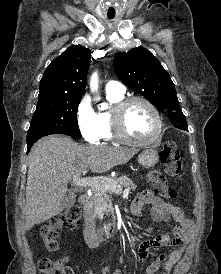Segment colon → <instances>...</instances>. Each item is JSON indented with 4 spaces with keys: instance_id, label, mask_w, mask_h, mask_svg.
Returning a JSON list of instances; mask_svg holds the SVG:
<instances>
[{
    "instance_id": "colon-1",
    "label": "colon",
    "mask_w": 221,
    "mask_h": 274,
    "mask_svg": "<svg viewBox=\"0 0 221 274\" xmlns=\"http://www.w3.org/2000/svg\"><path fill=\"white\" fill-rule=\"evenodd\" d=\"M163 169L167 176L180 178L182 176L181 153L178 146L173 141L165 143L161 152ZM150 185L153 190L168 199L176 197V191L168 186L166 176L159 173H152L149 176ZM81 219V210L78 206L67 208L60 216L52 219L41 229V237L50 251L57 249L56 237L61 228L73 229L77 227ZM40 274H72L71 269L66 265L65 259L57 261L47 257L39 261Z\"/></svg>"
}]
</instances>
